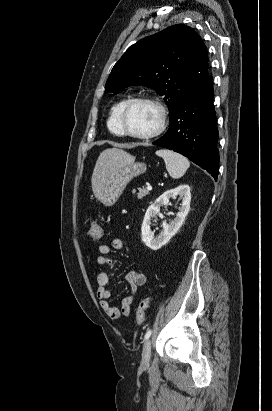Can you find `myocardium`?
Instances as JSON below:
<instances>
[{"label": "myocardium", "mask_w": 272, "mask_h": 411, "mask_svg": "<svg viewBox=\"0 0 272 411\" xmlns=\"http://www.w3.org/2000/svg\"><path fill=\"white\" fill-rule=\"evenodd\" d=\"M136 103L149 104L157 110L158 115H159V120H158V124L156 128L153 131L146 133V134H135L127 130L125 126V116L129 108ZM118 121H119V126H120L123 136H127L132 139H136V140H150V139H154L160 136L165 131L166 126H167V113L162 103L158 101L157 99L150 98V97H144V96L133 97V98L128 99L123 105V107L121 108L119 112Z\"/></svg>", "instance_id": "1"}]
</instances>
